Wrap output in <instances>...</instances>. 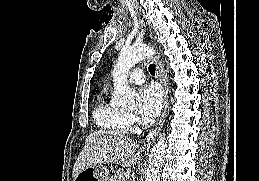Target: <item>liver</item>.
<instances>
[{
  "label": "liver",
  "instance_id": "6515ba94",
  "mask_svg": "<svg viewBox=\"0 0 259 181\" xmlns=\"http://www.w3.org/2000/svg\"><path fill=\"white\" fill-rule=\"evenodd\" d=\"M136 148L134 140L120 132H94L86 139L74 164L72 177L75 178L79 172L93 164L134 166L140 160V155L135 154Z\"/></svg>",
  "mask_w": 259,
  "mask_h": 181
}]
</instances>
